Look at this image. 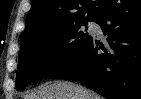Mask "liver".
Masks as SVG:
<instances>
[{
    "instance_id": "liver-1",
    "label": "liver",
    "mask_w": 141,
    "mask_h": 99,
    "mask_svg": "<svg viewBox=\"0 0 141 99\" xmlns=\"http://www.w3.org/2000/svg\"><path fill=\"white\" fill-rule=\"evenodd\" d=\"M24 99H103L90 89L72 82L57 81L41 86Z\"/></svg>"
}]
</instances>
